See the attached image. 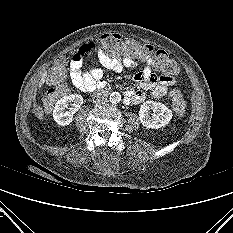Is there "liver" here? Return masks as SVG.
<instances>
[{
	"mask_svg": "<svg viewBox=\"0 0 233 233\" xmlns=\"http://www.w3.org/2000/svg\"><path fill=\"white\" fill-rule=\"evenodd\" d=\"M46 77H47V74L44 73V74L42 75V77H41L40 82H39V87H40V88H41V87L43 86V84L45 83Z\"/></svg>",
	"mask_w": 233,
	"mask_h": 233,
	"instance_id": "1",
	"label": "liver"
}]
</instances>
